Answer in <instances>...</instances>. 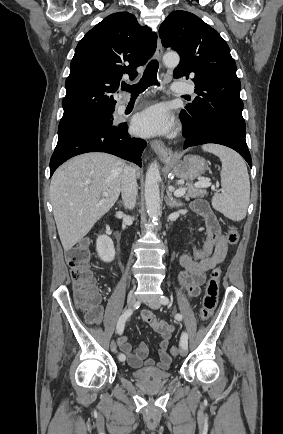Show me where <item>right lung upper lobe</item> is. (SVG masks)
I'll use <instances>...</instances> for the list:
<instances>
[{
  "label": "right lung upper lobe",
  "instance_id": "1",
  "mask_svg": "<svg viewBox=\"0 0 283 434\" xmlns=\"http://www.w3.org/2000/svg\"><path fill=\"white\" fill-rule=\"evenodd\" d=\"M156 43L157 35L128 12L103 19L76 47L65 83L62 119L114 110L112 93L123 74L134 79L136 68L151 58Z\"/></svg>",
  "mask_w": 283,
  "mask_h": 434
}]
</instances>
